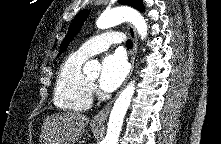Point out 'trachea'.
Returning a JSON list of instances; mask_svg holds the SVG:
<instances>
[{"instance_id": "obj_1", "label": "trachea", "mask_w": 221, "mask_h": 144, "mask_svg": "<svg viewBox=\"0 0 221 144\" xmlns=\"http://www.w3.org/2000/svg\"><path fill=\"white\" fill-rule=\"evenodd\" d=\"M126 46H127V48H132L133 47V42L130 39H128L126 41Z\"/></svg>"}]
</instances>
